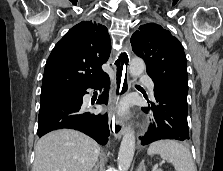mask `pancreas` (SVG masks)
Here are the masks:
<instances>
[{"label": "pancreas", "mask_w": 223, "mask_h": 171, "mask_svg": "<svg viewBox=\"0 0 223 171\" xmlns=\"http://www.w3.org/2000/svg\"><path fill=\"white\" fill-rule=\"evenodd\" d=\"M157 171H162L161 169H157Z\"/></svg>", "instance_id": "obj_1"}]
</instances>
